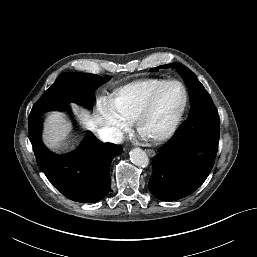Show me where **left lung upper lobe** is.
<instances>
[{
	"mask_svg": "<svg viewBox=\"0 0 257 257\" xmlns=\"http://www.w3.org/2000/svg\"><path fill=\"white\" fill-rule=\"evenodd\" d=\"M175 68L184 76L189 85L191 97V110L188 119L178 128L175 137L197 135L200 132L201 126L211 125L220 126L217 109L212 101V98L199 82L195 74L186 66L179 63H172L159 66L158 68ZM197 126L198 132H191V126Z\"/></svg>",
	"mask_w": 257,
	"mask_h": 257,
	"instance_id": "left-lung-upper-lobe-1",
	"label": "left lung upper lobe"
}]
</instances>
